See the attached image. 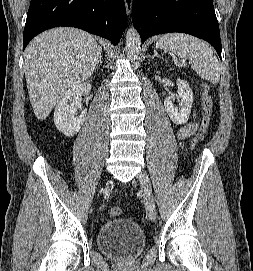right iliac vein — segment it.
<instances>
[{
  "label": "right iliac vein",
  "mask_w": 253,
  "mask_h": 271,
  "mask_svg": "<svg viewBox=\"0 0 253 271\" xmlns=\"http://www.w3.org/2000/svg\"><path fill=\"white\" fill-rule=\"evenodd\" d=\"M111 186V182H107L106 188H109Z\"/></svg>",
  "instance_id": "right-iliac-vein-1"
}]
</instances>
